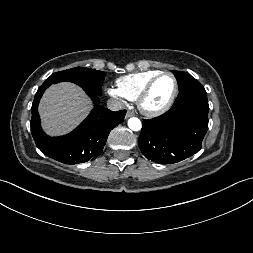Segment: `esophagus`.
Segmentation results:
<instances>
[{"label":"esophagus","instance_id":"esophagus-1","mask_svg":"<svg viewBox=\"0 0 253 253\" xmlns=\"http://www.w3.org/2000/svg\"><path fill=\"white\" fill-rule=\"evenodd\" d=\"M133 115H134L133 112L127 111V113H126V118L132 117Z\"/></svg>","mask_w":253,"mask_h":253}]
</instances>
